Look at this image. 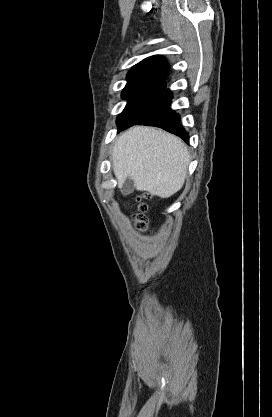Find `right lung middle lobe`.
Instances as JSON below:
<instances>
[{
	"label": "right lung middle lobe",
	"mask_w": 272,
	"mask_h": 417,
	"mask_svg": "<svg viewBox=\"0 0 272 417\" xmlns=\"http://www.w3.org/2000/svg\"><path fill=\"white\" fill-rule=\"evenodd\" d=\"M163 91L164 88L123 92L122 98L127 99L128 103L117 118L118 130L121 131L125 129L142 117Z\"/></svg>",
	"instance_id": "1"
}]
</instances>
